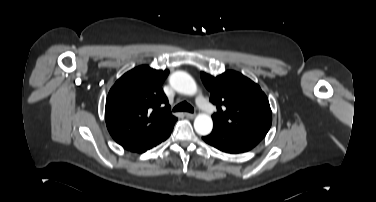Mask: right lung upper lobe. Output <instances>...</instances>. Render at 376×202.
I'll list each match as a JSON object with an SVG mask.
<instances>
[{
	"instance_id": "obj_1",
	"label": "right lung upper lobe",
	"mask_w": 376,
	"mask_h": 202,
	"mask_svg": "<svg viewBox=\"0 0 376 202\" xmlns=\"http://www.w3.org/2000/svg\"><path fill=\"white\" fill-rule=\"evenodd\" d=\"M168 74V70L142 65L125 73L110 89L105 121L110 135L123 148L150 140L175 119L162 90Z\"/></svg>"
}]
</instances>
